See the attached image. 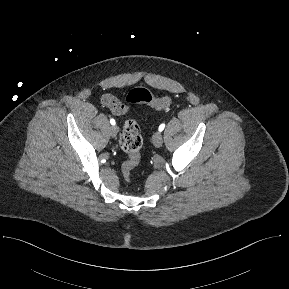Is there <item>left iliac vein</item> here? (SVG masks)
Returning <instances> with one entry per match:
<instances>
[{
  "label": "left iliac vein",
  "mask_w": 289,
  "mask_h": 289,
  "mask_svg": "<svg viewBox=\"0 0 289 289\" xmlns=\"http://www.w3.org/2000/svg\"><path fill=\"white\" fill-rule=\"evenodd\" d=\"M153 144L156 148H159L163 144V137L160 131L154 133L152 138Z\"/></svg>",
  "instance_id": "4c4485c4"
}]
</instances>
